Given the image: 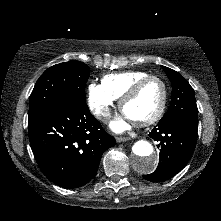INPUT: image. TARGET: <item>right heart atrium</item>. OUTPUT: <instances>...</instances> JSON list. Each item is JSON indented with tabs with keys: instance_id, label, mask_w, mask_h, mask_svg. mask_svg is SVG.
<instances>
[{
	"instance_id": "1",
	"label": "right heart atrium",
	"mask_w": 221,
	"mask_h": 221,
	"mask_svg": "<svg viewBox=\"0 0 221 221\" xmlns=\"http://www.w3.org/2000/svg\"><path fill=\"white\" fill-rule=\"evenodd\" d=\"M115 99L107 92L102 84L91 83L88 87V104L94 116L106 122L111 114Z\"/></svg>"
}]
</instances>
